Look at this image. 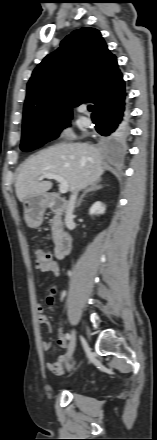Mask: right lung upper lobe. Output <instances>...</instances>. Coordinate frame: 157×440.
<instances>
[{
	"label": "right lung upper lobe",
	"mask_w": 157,
	"mask_h": 440,
	"mask_svg": "<svg viewBox=\"0 0 157 440\" xmlns=\"http://www.w3.org/2000/svg\"><path fill=\"white\" fill-rule=\"evenodd\" d=\"M125 94L115 55L97 29L83 27L70 33L33 71L27 85L23 126L70 121L73 107L91 102L97 111Z\"/></svg>",
	"instance_id": "1"
}]
</instances>
